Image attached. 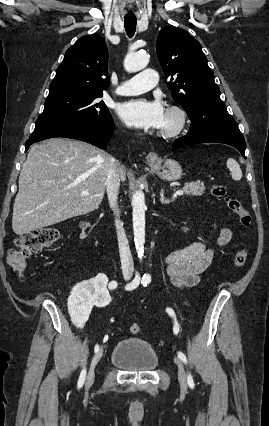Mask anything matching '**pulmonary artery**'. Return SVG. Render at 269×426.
Here are the masks:
<instances>
[{"instance_id": "1", "label": "pulmonary artery", "mask_w": 269, "mask_h": 426, "mask_svg": "<svg viewBox=\"0 0 269 426\" xmlns=\"http://www.w3.org/2000/svg\"><path fill=\"white\" fill-rule=\"evenodd\" d=\"M158 74L154 69H144L129 79L123 81L117 88L119 95H136L146 92L156 86Z\"/></svg>"}]
</instances>
